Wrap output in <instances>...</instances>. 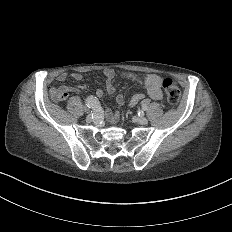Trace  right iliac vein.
Returning <instances> with one entry per match:
<instances>
[{"instance_id":"obj_1","label":"right iliac vein","mask_w":232,"mask_h":232,"mask_svg":"<svg viewBox=\"0 0 232 232\" xmlns=\"http://www.w3.org/2000/svg\"><path fill=\"white\" fill-rule=\"evenodd\" d=\"M86 122H87V123H90V122H91V117H90V116H87V117H86Z\"/></svg>"}]
</instances>
